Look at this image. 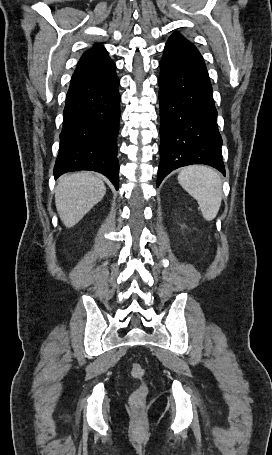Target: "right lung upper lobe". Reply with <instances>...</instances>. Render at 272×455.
I'll list each match as a JSON object with an SVG mask.
<instances>
[{"label": "right lung upper lobe", "mask_w": 272, "mask_h": 455, "mask_svg": "<svg viewBox=\"0 0 272 455\" xmlns=\"http://www.w3.org/2000/svg\"><path fill=\"white\" fill-rule=\"evenodd\" d=\"M115 68L116 65L110 59L106 49L101 44H95L82 55L71 78V84L105 75Z\"/></svg>", "instance_id": "obj_1"}]
</instances>
